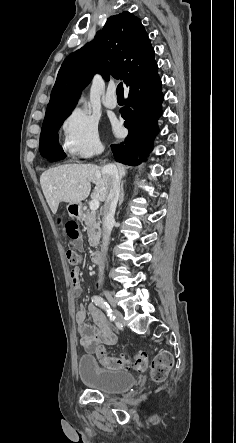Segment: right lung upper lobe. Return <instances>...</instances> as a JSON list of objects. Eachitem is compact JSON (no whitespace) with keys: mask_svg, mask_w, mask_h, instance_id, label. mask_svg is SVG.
I'll return each instance as SVG.
<instances>
[{"mask_svg":"<svg viewBox=\"0 0 236 443\" xmlns=\"http://www.w3.org/2000/svg\"><path fill=\"white\" fill-rule=\"evenodd\" d=\"M154 55L139 18L129 12L109 17L92 42L64 60L51 92L45 119L72 111L82 89L95 73H100L105 79L110 75L121 77L127 84L155 63Z\"/></svg>","mask_w":236,"mask_h":443,"instance_id":"cb5924a9","label":"right lung upper lobe"}]
</instances>
